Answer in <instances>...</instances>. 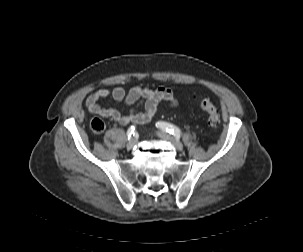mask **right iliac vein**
<instances>
[{
    "label": "right iliac vein",
    "mask_w": 303,
    "mask_h": 252,
    "mask_svg": "<svg viewBox=\"0 0 303 252\" xmlns=\"http://www.w3.org/2000/svg\"><path fill=\"white\" fill-rule=\"evenodd\" d=\"M136 142H137L136 138H131L127 143V148L131 149L136 144Z\"/></svg>",
    "instance_id": "1"
}]
</instances>
